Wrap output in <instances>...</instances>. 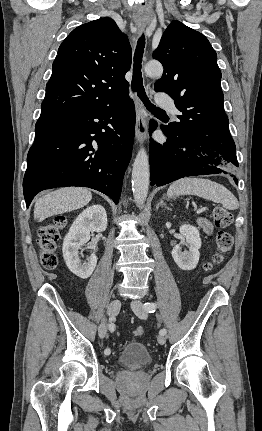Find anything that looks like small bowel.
<instances>
[{
  "instance_id": "small-bowel-1",
  "label": "small bowel",
  "mask_w": 262,
  "mask_h": 431,
  "mask_svg": "<svg viewBox=\"0 0 262 431\" xmlns=\"http://www.w3.org/2000/svg\"><path fill=\"white\" fill-rule=\"evenodd\" d=\"M199 225L207 234H212L214 226L210 220L207 218H200Z\"/></svg>"
}]
</instances>
